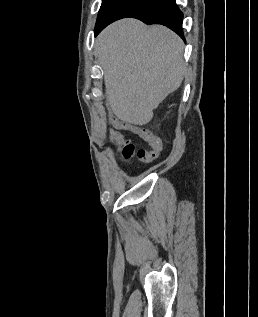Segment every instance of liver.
Masks as SVG:
<instances>
[{"instance_id":"obj_1","label":"liver","mask_w":258,"mask_h":317,"mask_svg":"<svg viewBox=\"0 0 258 317\" xmlns=\"http://www.w3.org/2000/svg\"><path fill=\"white\" fill-rule=\"evenodd\" d=\"M184 42L176 32L136 18L109 24L97 36L107 100L129 124H146L153 108L179 88L185 70Z\"/></svg>"}]
</instances>
